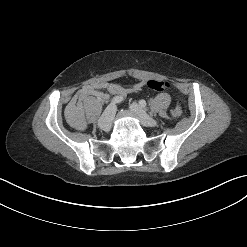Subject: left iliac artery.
<instances>
[{
	"label": "left iliac artery",
	"instance_id": "1",
	"mask_svg": "<svg viewBox=\"0 0 247 247\" xmlns=\"http://www.w3.org/2000/svg\"><path fill=\"white\" fill-rule=\"evenodd\" d=\"M139 105H140V107H142V108L146 107V101H145V100H140V101H139Z\"/></svg>",
	"mask_w": 247,
	"mask_h": 247
}]
</instances>
